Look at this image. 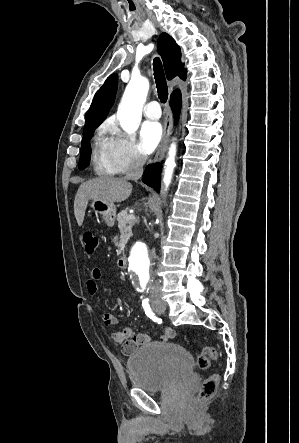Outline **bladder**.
<instances>
[{"label":"bladder","instance_id":"1","mask_svg":"<svg viewBox=\"0 0 299 443\" xmlns=\"http://www.w3.org/2000/svg\"><path fill=\"white\" fill-rule=\"evenodd\" d=\"M191 354L176 343L141 347L127 361L132 382L146 391H160L192 375Z\"/></svg>","mask_w":299,"mask_h":443}]
</instances>
